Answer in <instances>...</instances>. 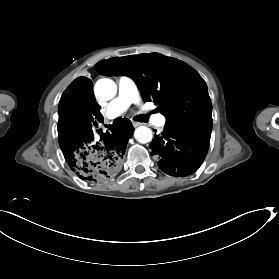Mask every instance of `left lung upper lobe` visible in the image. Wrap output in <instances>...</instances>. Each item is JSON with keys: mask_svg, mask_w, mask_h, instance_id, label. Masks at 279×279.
I'll return each instance as SVG.
<instances>
[{"mask_svg": "<svg viewBox=\"0 0 279 279\" xmlns=\"http://www.w3.org/2000/svg\"><path fill=\"white\" fill-rule=\"evenodd\" d=\"M106 76L131 77L145 101L153 100L166 124L212 127V104L201 76L186 63L159 53L115 57L95 65Z\"/></svg>", "mask_w": 279, "mask_h": 279, "instance_id": "1", "label": "left lung upper lobe"}]
</instances>
